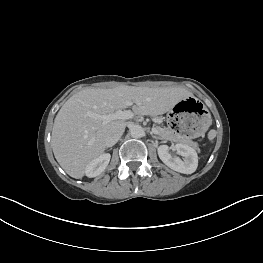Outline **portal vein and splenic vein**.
I'll return each instance as SVG.
<instances>
[{"label": "portal vein and splenic vein", "instance_id": "obj_1", "mask_svg": "<svg viewBox=\"0 0 263 263\" xmlns=\"http://www.w3.org/2000/svg\"><path fill=\"white\" fill-rule=\"evenodd\" d=\"M127 104L129 106L132 105L131 102H128ZM88 115L90 117H93V118L101 119L104 124H106V123H108L110 121H113V120H127V119H131L134 116L133 112L130 111V110H124V111L123 110H117L114 113L106 114V115H97V114H94V113H88ZM152 132L155 133V134H159V132H158L156 127L152 128Z\"/></svg>", "mask_w": 263, "mask_h": 263}]
</instances>
